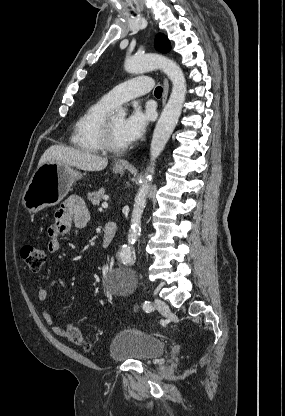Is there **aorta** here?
<instances>
[{"mask_svg":"<svg viewBox=\"0 0 285 416\" xmlns=\"http://www.w3.org/2000/svg\"><path fill=\"white\" fill-rule=\"evenodd\" d=\"M155 69H161L171 80L172 92L153 133L150 145L149 173L146 175V179L135 197L131 226L128 234L129 245H124L120 252V258L123 264L133 262L130 245L134 244L141 231V217L146 205V197L149 189L148 182L152 180L151 173L154 172L156 159L165 148L178 122L186 96V80L184 74L181 68L172 60L158 54H145L129 57L125 61V70L131 74H141ZM116 115L124 117L126 115L125 110H118Z\"/></svg>","mask_w":285,"mask_h":416,"instance_id":"762f6f07","label":"aorta"}]
</instances>
